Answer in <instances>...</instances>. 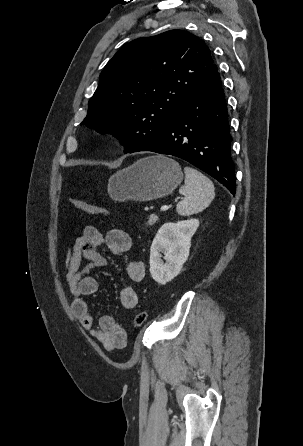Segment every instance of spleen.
<instances>
[{"mask_svg": "<svg viewBox=\"0 0 303 446\" xmlns=\"http://www.w3.org/2000/svg\"><path fill=\"white\" fill-rule=\"evenodd\" d=\"M185 185L179 189L184 199L177 204L181 216H190L203 211L215 197L212 181L200 171L185 167Z\"/></svg>", "mask_w": 303, "mask_h": 446, "instance_id": "spleen-1", "label": "spleen"}]
</instances>
